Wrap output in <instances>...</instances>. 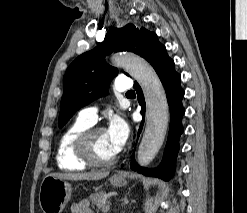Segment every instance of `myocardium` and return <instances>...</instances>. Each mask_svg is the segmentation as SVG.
<instances>
[{"label":"myocardium","instance_id":"myocardium-1","mask_svg":"<svg viewBox=\"0 0 247 213\" xmlns=\"http://www.w3.org/2000/svg\"><path fill=\"white\" fill-rule=\"evenodd\" d=\"M104 131L102 127H90L78 134L74 141V153L76 158L90 167H105L114 164L118 157L115 155L108 160H99L94 157L92 153V140L94 136L100 132Z\"/></svg>","mask_w":247,"mask_h":213}]
</instances>
